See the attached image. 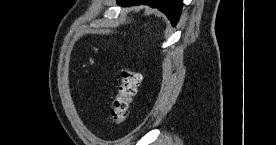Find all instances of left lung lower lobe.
I'll use <instances>...</instances> for the list:
<instances>
[{"mask_svg":"<svg viewBox=\"0 0 276 145\" xmlns=\"http://www.w3.org/2000/svg\"><path fill=\"white\" fill-rule=\"evenodd\" d=\"M117 3L122 6L145 4L157 8L166 14L174 26L179 20L183 6V0H117Z\"/></svg>","mask_w":276,"mask_h":145,"instance_id":"1","label":"left lung lower lobe"}]
</instances>
